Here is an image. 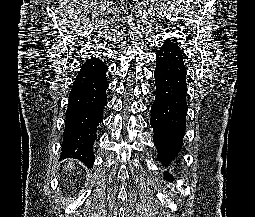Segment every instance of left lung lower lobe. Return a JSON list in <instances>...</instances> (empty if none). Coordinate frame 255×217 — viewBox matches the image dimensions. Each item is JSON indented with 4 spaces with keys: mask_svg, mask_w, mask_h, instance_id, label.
<instances>
[{
    "mask_svg": "<svg viewBox=\"0 0 255 217\" xmlns=\"http://www.w3.org/2000/svg\"><path fill=\"white\" fill-rule=\"evenodd\" d=\"M187 70L181 50L163 45L156 55L154 71L156 98L151 107L150 124L158 159L167 166L183 146L187 115ZM166 180H172L164 173Z\"/></svg>",
    "mask_w": 255,
    "mask_h": 217,
    "instance_id": "1",
    "label": "left lung lower lobe"
}]
</instances>
